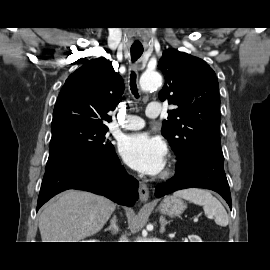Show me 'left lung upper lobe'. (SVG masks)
<instances>
[{
	"mask_svg": "<svg viewBox=\"0 0 270 270\" xmlns=\"http://www.w3.org/2000/svg\"><path fill=\"white\" fill-rule=\"evenodd\" d=\"M158 67L166 79L159 99L177 106L168 111L162 126L177 159L187 158L195 149L222 153L215 72L202 59L172 49L163 52Z\"/></svg>",
	"mask_w": 270,
	"mask_h": 270,
	"instance_id": "left-lung-upper-lobe-1",
	"label": "left lung upper lobe"
}]
</instances>
